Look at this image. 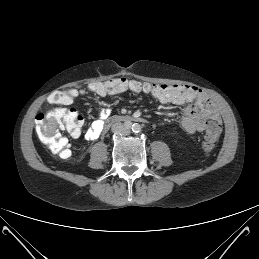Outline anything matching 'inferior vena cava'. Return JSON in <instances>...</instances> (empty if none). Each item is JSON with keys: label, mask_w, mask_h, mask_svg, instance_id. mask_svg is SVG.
<instances>
[{"label": "inferior vena cava", "mask_w": 259, "mask_h": 259, "mask_svg": "<svg viewBox=\"0 0 259 259\" xmlns=\"http://www.w3.org/2000/svg\"><path fill=\"white\" fill-rule=\"evenodd\" d=\"M111 130L115 134L127 135L129 133L122 123L113 124Z\"/></svg>", "instance_id": "obj_1"}]
</instances>
